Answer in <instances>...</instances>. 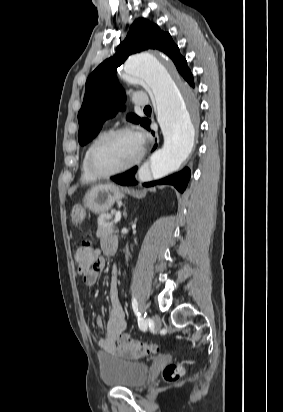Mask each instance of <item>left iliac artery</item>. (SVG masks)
Wrapping results in <instances>:
<instances>
[{
	"label": "left iliac artery",
	"instance_id": "44dca946",
	"mask_svg": "<svg viewBox=\"0 0 283 412\" xmlns=\"http://www.w3.org/2000/svg\"><path fill=\"white\" fill-rule=\"evenodd\" d=\"M132 308L133 311L135 313V315L137 316V321H138V326L142 331H145L147 329V321L141 317V314L139 312V308H138V302L136 300V298H132Z\"/></svg>",
	"mask_w": 283,
	"mask_h": 412
}]
</instances>
